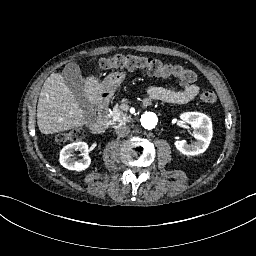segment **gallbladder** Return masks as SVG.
<instances>
[{
	"label": "gallbladder",
	"instance_id": "bac80fb5",
	"mask_svg": "<svg viewBox=\"0 0 256 256\" xmlns=\"http://www.w3.org/2000/svg\"><path fill=\"white\" fill-rule=\"evenodd\" d=\"M63 81L76 97L77 101L84 108L85 117L88 121L96 120V110L90 103L84 92V79L78 64L70 62L65 65L62 71Z\"/></svg>",
	"mask_w": 256,
	"mask_h": 256
}]
</instances>
